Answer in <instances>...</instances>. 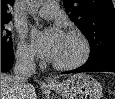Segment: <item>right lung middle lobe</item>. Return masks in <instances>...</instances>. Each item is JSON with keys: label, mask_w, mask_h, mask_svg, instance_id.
Segmentation results:
<instances>
[{"label": "right lung middle lobe", "mask_w": 115, "mask_h": 99, "mask_svg": "<svg viewBox=\"0 0 115 99\" xmlns=\"http://www.w3.org/2000/svg\"><path fill=\"white\" fill-rule=\"evenodd\" d=\"M7 23H1V54L13 53L11 32L5 28Z\"/></svg>", "instance_id": "right-lung-middle-lobe-1"}]
</instances>
